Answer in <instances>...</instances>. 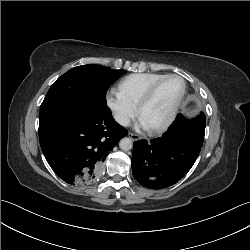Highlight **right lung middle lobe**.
<instances>
[{
  "label": "right lung middle lobe",
  "instance_id": "obj_1",
  "mask_svg": "<svg viewBox=\"0 0 250 250\" xmlns=\"http://www.w3.org/2000/svg\"><path fill=\"white\" fill-rule=\"evenodd\" d=\"M126 71L100 65H82L72 68L50 87L40 107V116L72 103L107 106L108 88Z\"/></svg>",
  "mask_w": 250,
  "mask_h": 250
}]
</instances>
